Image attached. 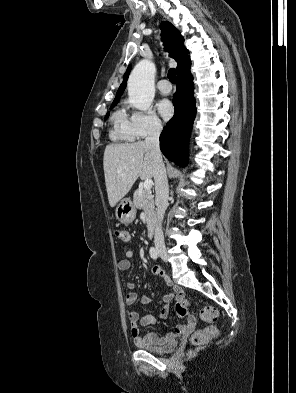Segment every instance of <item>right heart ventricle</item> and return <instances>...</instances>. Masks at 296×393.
<instances>
[{
  "label": "right heart ventricle",
  "instance_id": "obj_1",
  "mask_svg": "<svg viewBox=\"0 0 296 393\" xmlns=\"http://www.w3.org/2000/svg\"><path fill=\"white\" fill-rule=\"evenodd\" d=\"M111 138L125 142H132L136 138L131 126L130 118L123 108L118 109L113 115Z\"/></svg>",
  "mask_w": 296,
  "mask_h": 393
}]
</instances>
